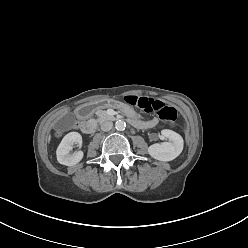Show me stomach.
I'll list each match as a JSON object with an SVG mask.
<instances>
[{
    "label": "stomach",
    "instance_id": "0dacf381",
    "mask_svg": "<svg viewBox=\"0 0 248 248\" xmlns=\"http://www.w3.org/2000/svg\"><path fill=\"white\" fill-rule=\"evenodd\" d=\"M101 107H115L120 113L124 114L129 120L135 119V113L128 105H124L120 100H99L89 105L90 111H95Z\"/></svg>",
    "mask_w": 248,
    "mask_h": 248
}]
</instances>
